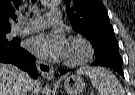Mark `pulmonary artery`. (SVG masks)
Segmentation results:
<instances>
[{"mask_svg":"<svg viewBox=\"0 0 135 95\" xmlns=\"http://www.w3.org/2000/svg\"><path fill=\"white\" fill-rule=\"evenodd\" d=\"M61 22V14L58 10H50L46 16L35 17L29 19L25 25L16 24L12 27L11 34H25L37 32L44 29L47 24H59Z\"/></svg>","mask_w":135,"mask_h":95,"instance_id":"1","label":"pulmonary artery"}]
</instances>
